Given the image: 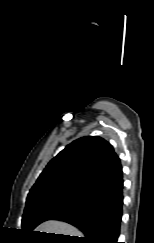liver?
Listing matches in <instances>:
<instances>
[{"label": "liver", "mask_w": 154, "mask_h": 243, "mask_svg": "<svg viewBox=\"0 0 154 243\" xmlns=\"http://www.w3.org/2000/svg\"><path fill=\"white\" fill-rule=\"evenodd\" d=\"M35 231L82 237V233L74 226L56 220L40 224Z\"/></svg>", "instance_id": "1"}]
</instances>
